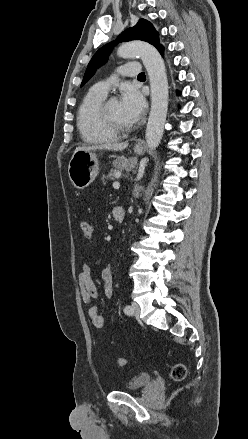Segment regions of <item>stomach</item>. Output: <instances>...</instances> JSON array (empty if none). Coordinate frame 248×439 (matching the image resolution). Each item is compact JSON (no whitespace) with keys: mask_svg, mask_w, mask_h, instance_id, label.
Listing matches in <instances>:
<instances>
[{"mask_svg":"<svg viewBox=\"0 0 248 439\" xmlns=\"http://www.w3.org/2000/svg\"><path fill=\"white\" fill-rule=\"evenodd\" d=\"M134 151L140 155L143 153V148L135 147ZM98 166V157L95 152L85 150L74 152L68 165V175L73 186L80 190L88 187L98 174Z\"/></svg>","mask_w":248,"mask_h":439,"instance_id":"obj_1","label":"stomach"}]
</instances>
